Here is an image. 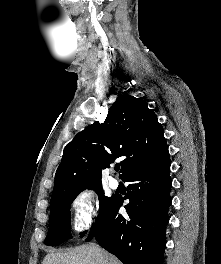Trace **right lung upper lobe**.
Listing matches in <instances>:
<instances>
[{
    "mask_svg": "<svg viewBox=\"0 0 221 264\" xmlns=\"http://www.w3.org/2000/svg\"><path fill=\"white\" fill-rule=\"evenodd\" d=\"M168 153L164 130L147 103L121 95L104 123L79 132L64 148L56 171L51 204L58 198L101 186L102 173L119 157L123 179Z\"/></svg>",
    "mask_w": 221,
    "mask_h": 264,
    "instance_id": "cb5924a9",
    "label": "right lung upper lobe"
}]
</instances>
